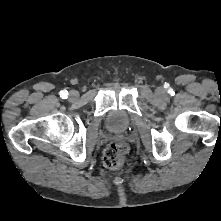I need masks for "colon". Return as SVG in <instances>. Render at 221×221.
Returning a JSON list of instances; mask_svg holds the SVG:
<instances>
[{"instance_id":"5ec220e1","label":"colon","mask_w":221,"mask_h":221,"mask_svg":"<svg viewBox=\"0 0 221 221\" xmlns=\"http://www.w3.org/2000/svg\"><path fill=\"white\" fill-rule=\"evenodd\" d=\"M128 147L122 141H113L105 149L103 161L106 167L120 169L126 165Z\"/></svg>"}]
</instances>
